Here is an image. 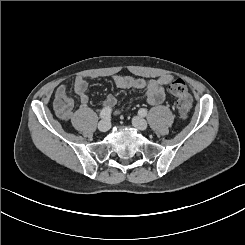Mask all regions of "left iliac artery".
I'll return each instance as SVG.
<instances>
[{
    "mask_svg": "<svg viewBox=\"0 0 245 245\" xmlns=\"http://www.w3.org/2000/svg\"><path fill=\"white\" fill-rule=\"evenodd\" d=\"M138 113L141 115V116H146L147 115V110L144 109V108H141Z\"/></svg>",
    "mask_w": 245,
    "mask_h": 245,
    "instance_id": "obj_1",
    "label": "left iliac artery"
}]
</instances>
